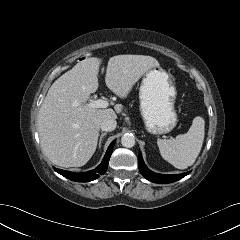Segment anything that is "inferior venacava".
Returning <instances> with one entry per match:
<instances>
[{
  "mask_svg": "<svg viewBox=\"0 0 240 240\" xmlns=\"http://www.w3.org/2000/svg\"><path fill=\"white\" fill-rule=\"evenodd\" d=\"M116 126L117 122L114 119H106L100 124L101 130L106 132L115 130Z\"/></svg>",
  "mask_w": 240,
  "mask_h": 240,
  "instance_id": "obj_1",
  "label": "inferior vena cava"
}]
</instances>
